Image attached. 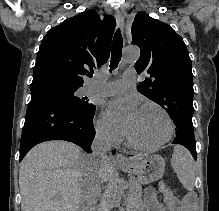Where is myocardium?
<instances>
[{
  "instance_id": "1",
  "label": "myocardium",
  "mask_w": 219,
  "mask_h": 211,
  "mask_svg": "<svg viewBox=\"0 0 219 211\" xmlns=\"http://www.w3.org/2000/svg\"><path fill=\"white\" fill-rule=\"evenodd\" d=\"M147 106L156 107L165 115V117L167 119V123H168V130H167V133H166L165 137L161 141H159L157 143H154V144H143V143H139V142L135 141L131 137L129 132L127 131V128H125V130H124V135H125V138H126L127 142L131 146L139 148V149L151 150V149L160 148L161 146L165 145L167 142L170 141V139L172 138L173 133H174V123H173V120H172V117H171L170 113L161 104H159L157 102H154V101H146V102H143L140 105L139 108H144V107H147Z\"/></svg>"
}]
</instances>
